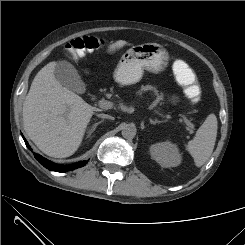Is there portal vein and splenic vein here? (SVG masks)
<instances>
[{"mask_svg": "<svg viewBox=\"0 0 245 245\" xmlns=\"http://www.w3.org/2000/svg\"><path fill=\"white\" fill-rule=\"evenodd\" d=\"M113 103L107 100H100L99 106L103 109H111L113 107ZM183 121L186 123L187 126H189L191 129L194 128V125L186 118L183 117Z\"/></svg>", "mask_w": 245, "mask_h": 245, "instance_id": "18ae733b", "label": "portal vein and splenic vein"}]
</instances>
